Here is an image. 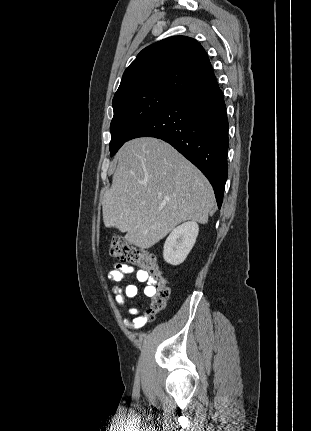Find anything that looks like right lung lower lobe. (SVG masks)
<instances>
[{
  "label": "right lung lower lobe",
  "instance_id": "98d812e1",
  "mask_svg": "<svg viewBox=\"0 0 311 431\" xmlns=\"http://www.w3.org/2000/svg\"><path fill=\"white\" fill-rule=\"evenodd\" d=\"M155 137L171 144L208 178L221 207L227 180L228 119L217 81L181 94L138 126L129 140Z\"/></svg>",
  "mask_w": 311,
  "mask_h": 431
}]
</instances>
